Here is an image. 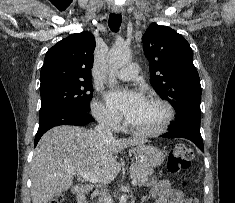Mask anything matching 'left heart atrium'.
I'll use <instances>...</instances> for the list:
<instances>
[{
	"label": "left heart atrium",
	"mask_w": 235,
	"mask_h": 203,
	"mask_svg": "<svg viewBox=\"0 0 235 203\" xmlns=\"http://www.w3.org/2000/svg\"><path fill=\"white\" fill-rule=\"evenodd\" d=\"M106 99L111 109L122 114L128 120L134 117L145 102L142 93L127 90L110 91L107 94Z\"/></svg>",
	"instance_id": "1"
}]
</instances>
